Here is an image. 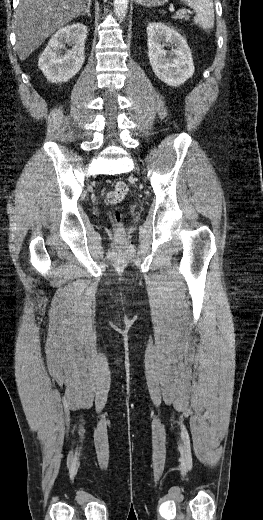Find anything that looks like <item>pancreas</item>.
<instances>
[{
  "mask_svg": "<svg viewBox=\"0 0 263 520\" xmlns=\"http://www.w3.org/2000/svg\"><path fill=\"white\" fill-rule=\"evenodd\" d=\"M186 13H187L186 10H183V11L181 10V11H179V12L175 15V18H176V19H186V20H189V17L187 16Z\"/></svg>",
  "mask_w": 263,
  "mask_h": 520,
  "instance_id": "pancreas-1",
  "label": "pancreas"
}]
</instances>
